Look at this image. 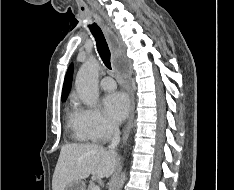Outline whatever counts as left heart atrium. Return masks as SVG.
I'll list each match as a JSON object with an SVG mask.
<instances>
[{"label": "left heart atrium", "mask_w": 234, "mask_h": 190, "mask_svg": "<svg viewBox=\"0 0 234 190\" xmlns=\"http://www.w3.org/2000/svg\"><path fill=\"white\" fill-rule=\"evenodd\" d=\"M129 108V98L123 92H112L104 99L105 113L115 122L124 120L129 112Z\"/></svg>", "instance_id": "39dd6f15"}]
</instances>
